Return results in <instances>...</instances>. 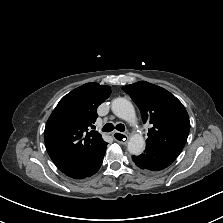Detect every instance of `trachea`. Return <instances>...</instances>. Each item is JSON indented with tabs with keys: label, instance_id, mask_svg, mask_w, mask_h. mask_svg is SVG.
<instances>
[{
	"label": "trachea",
	"instance_id": "1",
	"mask_svg": "<svg viewBox=\"0 0 223 223\" xmlns=\"http://www.w3.org/2000/svg\"><path fill=\"white\" fill-rule=\"evenodd\" d=\"M114 128H116L118 131L120 132H124L125 131V126L123 124H117L115 127L112 123H107L103 128L102 131L103 132H111L114 130Z\"/></svg>",
	"mask_w": 223,
	"mask_h": 223
}]
</instances>
